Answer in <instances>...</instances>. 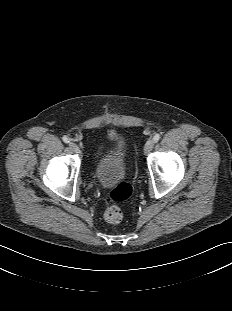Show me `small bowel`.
I'll use <instances>...</instances> for the list:
<instances>
[{
  "mask_svg": "<svg viewBox=\"0 0 232 311\" xmlns=\"http://www.w3.org/2000/svg\"><path fill=\"white\" fill-rule=\"evenodd\" d=\"M101 150H102V148H99L97 156L100 154Z\"/></svg>",
  "mask_w": 232,
  "mask_h": 311,
  "instance_id": "small-bowel-1",
  "label": "small bowel"
}]
</instances>
